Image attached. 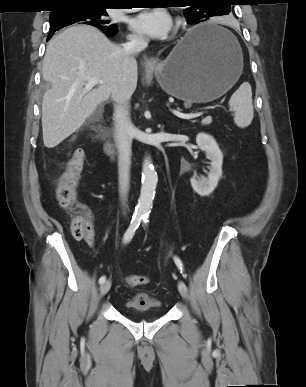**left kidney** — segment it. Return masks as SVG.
Masks as SVG:
<instances>
[{
    "label": "left kidney",
    "mask_w": 306,
    "mask_h": 387,
    "mask_svg": "<svg viewBox=\"0 0 306 387\" xmlns=\"http://www.w3.org/2000/svg\"><path fill=\"white\" fill-rule=\"evenodd\" d=\"M196 143L211 162L208 177L199 179L194 175L190 182L194 191L200 196H208L214 191L222 176L223 154L215 139L208 134L199 133L196 137Z\"/></svg>",
    "instance_id": "obj_1"
}]
</instances>
